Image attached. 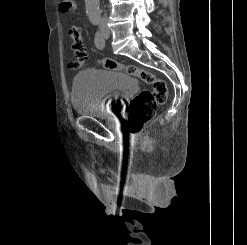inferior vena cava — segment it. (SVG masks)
Instances as JSON below:
<instances>
[{
	"instance_id": "1",
	"label": "inferior vena cava",
	"mask_w": 247,
	"mask_h": 245,
	"mask_svg": "<svg viewBox=\"0 0 247 245\" xmlns=\"http://www.w3.org/2000/svg\"><path fill=\"white\" fill-rule=\"evenodd\" d=\"M104 21H105V18H104V19H102V25H104Z\"/></svg>"
}]
</instances>
